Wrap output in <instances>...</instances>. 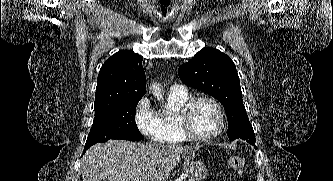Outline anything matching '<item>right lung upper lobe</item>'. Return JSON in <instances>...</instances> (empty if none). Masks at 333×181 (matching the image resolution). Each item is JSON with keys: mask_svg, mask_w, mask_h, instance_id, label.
<instances>
[{"mask_svg": "<svg viewBox=\"0 0 333 181\" xmlns=\"http://www.w3.org/2000/svg\"><path fill=\"white\" fill-rule=\"evenodd\" d=\"M146 91L142 57L122 50L102 65L95 95V109L123 102L140 100Z\"/></svg>", "mask_w": 333, "mask_h": 181, "instance_id": "1", "label": "right lung upper lobe"}]
</instances>
